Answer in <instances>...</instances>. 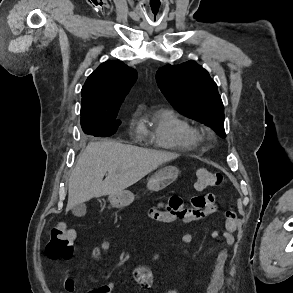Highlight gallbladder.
Wrapping results in <instances>:
<instances>
[{"mask_svg": "<svg viewBox=\"0 0 293 293\" xmlns=\"http://www.w3.org/2000/svg\"><path fill=\"white\" fill-rule=\"evenodd\" d=\"M71 210L75 216L81 217L86 214V205L84 203H80L73 206Z\"/></svg>", "mask_w": 293, "mask_h": 293, "instance_id": "obj_1", "label": "gallbladder"}]
</instances>
